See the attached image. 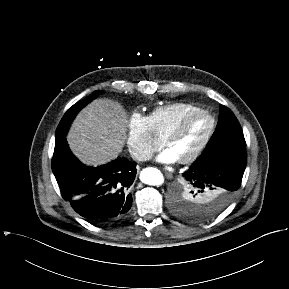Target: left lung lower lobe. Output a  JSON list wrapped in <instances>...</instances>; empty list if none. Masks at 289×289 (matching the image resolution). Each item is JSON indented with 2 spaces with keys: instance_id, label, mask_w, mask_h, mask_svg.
<instances>
[{
  "instance_id": "0a47b994",
  "label": "left lung lower lobe",
  "mask_w": 289,
  "mask_h": 289,
  "mask_svg": "<svg viewBox=\"0 0 289 289\" xmlns=\"http://www.w3.org/2000/svg\"><path fill=\"white\" fill-rule=\"evenodd\" d=\"M246 163L245 148L222 149L200 156L183 173V178L189 186L209 198L207 211L216 216L233 200L241 185Z\"/></svg>"
}]
</instances>
